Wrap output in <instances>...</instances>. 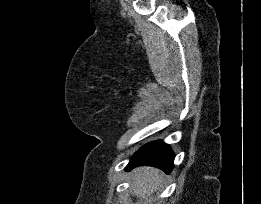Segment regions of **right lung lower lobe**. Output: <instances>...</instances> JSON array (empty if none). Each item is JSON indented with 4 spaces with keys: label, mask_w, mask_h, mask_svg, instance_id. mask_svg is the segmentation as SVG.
Returning a JSON list of instances; mask_svg holds the SVG:
<instances>
[{
    "label": "right lung lower lobe",
    "mask_w": 261,
    "mask_h": 204,
    "mask_svg": "<svg viewBox=\"0 0 261 204\" xmlns=\"http://www.w3.org/2000/svg\"><path fill=\"white\" fill-rule=\"evenodd\" d=\"M174 157L175 155L169 145L162 141H154L144 145L132 156L126 170L136 166L148 165L160 168L169 174L174 166Z\"/></svg>",
    "instance_id": "right-lung-lower-lobe-1"
}]
</instances>
